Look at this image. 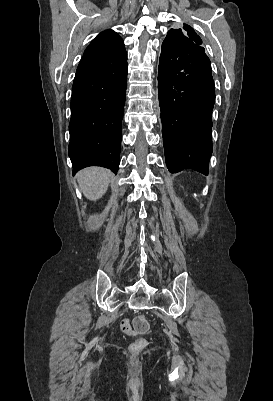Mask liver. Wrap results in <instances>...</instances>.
I'll use <instances>...</instances> for the list:
<instances>
[{"mask_svg": "<svg viewBox=\"0 0 273 401\" xmlns=\"http://www.w3.org/2000/svg\"><path fill=\"white\" fill-rule=\"evenodd\" d=\"M111 176L113 174L107 168L89 166L78 172L77 180L84 196L90 198V201H96V198H100L106 192Z\"/></svg>", "mask_w": 273, "mask_h": 401, "instance_id": "1", "label": "liver"}]
</instances>
